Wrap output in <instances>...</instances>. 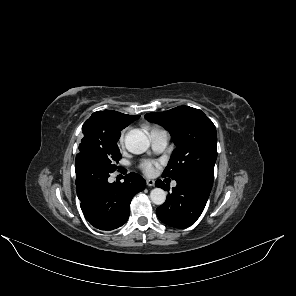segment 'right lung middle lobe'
Wrapping results in <instances>:
<instances>
[{
	"label": "right lung middle lobe",
	"instance_id": "1",
	"mask_svg": "<svg viewBox=\"0 0 296 296\" xmlns=\"http://www.w3.org/2000/svg\"><path fill=\"white\" fill-rule=\"evenodd\" d=\"M121 129L108 133H85L79 144V151L97 158L109 172L117 169L116 164L121 159L117 141Z\"/></svg>",
	"mask_w": 296,
	"mask_h": 296
}]
</instances>
